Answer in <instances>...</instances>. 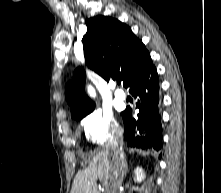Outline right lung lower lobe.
<instances>
[{
    "mask_svg": "<svg viewBox=\"0 0 221 193\" xmlns=\"http://www.w3.org/2000/svg\"><path fill=\"white\" fill-rule=\"evenodd\" d=\"M127 87L137 98V117H132V109L122 112L124 120V138L129 146L141 149L159 150L162 146V128L158 113L159 80L155 66L148 60L130 78Z\"/></svg>",
    "mask_w": 221,
    "mask_h": 193,
    "instance_id": "obj_1",
    "label": "right lung lower lobe"
}]
</instances>
